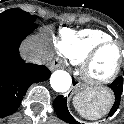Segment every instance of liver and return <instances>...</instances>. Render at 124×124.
<instances>
[{
  "instance_id": "1",
  "label": "liver",
  "mask_w": 124,
  "mask_h": 124,
  "mask_svg": "<svg viewBox=\"0 0 124 124\" xmlns=\"http://www.w3.org/2000/svg\"><path fill=\"white\" fill-rule=\"evenodd\" d=\"M47 39L45 37H31L23 45V52L26 56L32 53L46 55Z\"/></svg>"
}]
</instances>
